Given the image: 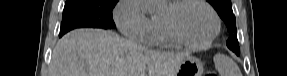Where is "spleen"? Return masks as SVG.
<instances>
[{
  "mask_svg": "<svg viewBox=\"0 0 287 76\" xmlns=\"http://www.w3.org/2000/svg\"><path fill=\"white\" fill-rule=\"evenodd\" d=\"M213 60L215 68L222 76H242L238 65L230 57L218 53Z\"/></svg>",
  "mask_w": 287,
  "mask_h": 76,
  "instance_id": "1",
  "label": "spleen"
}]
</instances>
